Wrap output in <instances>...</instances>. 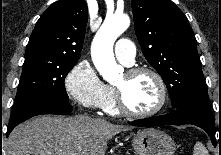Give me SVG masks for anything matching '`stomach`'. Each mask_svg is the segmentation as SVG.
<instances>
[{
  "label": "stomach",
  "instance_id": "0dacf381",
  "mask_svg": "<svg viewBox=\"0 0 221 155\" xmlns=\"http://www.w3.org/2000/svg\"><path fill=\"white\" fill-rule=\"evenodd\" d=\"M132 146L136 155H174L176 150L172 138L154 128L139 130L134 134Z\"/></svg>",
  "mask_w": 221,
  "mask_h": 155
}]
</instances>
